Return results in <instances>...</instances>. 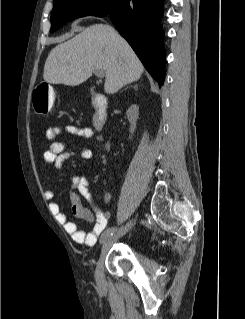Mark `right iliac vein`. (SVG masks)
Wrapping results in <instances>:
<instances>
[{
  "label": "right iliac vein",
  "mask_w": 245,
  "mask_h": 319,
  "mask_svg": "<svg viewBox=\"0 0 245 319\" xmlns=\"http://www.w3.org/2000/svg\"><path fill=\"white\" fill-rule=\"evenodd\" d=\"M135 222L136 219L129 221L124 227L118 229L112 238H110L111 236L107 233V230L101 235L100 242L103 244V248L95 269V279L99 285L104 283V259L107 254L110 241H117L121 238L135 224Z\"/></svg>",
  "instance_id": "63e3f726"
}]
</instances>
